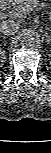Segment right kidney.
<instances>
[{
	"instance_id": "1",
	"label": "right kidney",
	"mask_w": 51,
	"mask_h": 153,
	"mask_svg": "<svg viewBox=\"0 0 51 153\" xmlns=\"http://www.w3.org/2000/svg\"><path fill=\"white\" fill-rule=\"evenodd\" d=\"M1 58H4V53L3 52H1Z\"/></svg>"
}]
</instances>
